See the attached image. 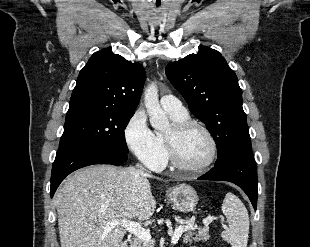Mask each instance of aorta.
Masks as SVG:
<instances>
[{
  "mask_svg": "<svg viewBox=\"0 0 310 247\" xmlns=\"http://www.w3.org/2000/svg\"><path fill=\"white\" fill-rule=\"evenodd\" d=\"M144 103L151 126L158 131L166 130L169 127V120L159 104L156 83L152 82L147 86L144 93Z\"/></svg>",
  "mask_w": 310,
  "mask_h": 247,
  "instance_id": "aorta-1",
  "label": "aorta"
}]
</instances>
